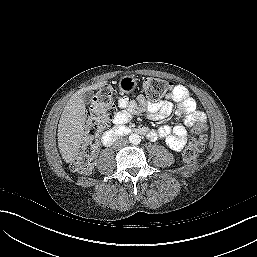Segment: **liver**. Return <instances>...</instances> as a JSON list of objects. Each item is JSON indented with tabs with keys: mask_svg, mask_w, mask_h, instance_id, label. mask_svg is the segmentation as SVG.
<instances>
[{
	"mask_svg": "<svg viewBox=\"0 0 257 257\" xmlns=\"http://www.w3.org/2000/svg\"><path fill=\"white\" fill-rule=\"evenodd\" d=\"M107 81L98 82L78 90L68 100L58 124V147L66 163L73 162L84 136L86 107L82 98L86 91L97 90Z\"/></svg>",
	"mask_w": 257,
	"mask_h": 257,
	"instance_id": "6515ba94",
	"label": "liver"
}]
</instances>
